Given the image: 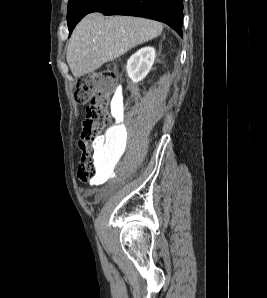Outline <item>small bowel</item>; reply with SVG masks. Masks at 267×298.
I'll use <instances>...</instances> for the list:
<instances>
[{
    "mask_svg": "<svg viewBox=\"0 0 267 298\" xmlns=\"http://www.w3.org/2000/svg\"><path fill=\"white\" fill-rule=\"evenodd\" d=\"M112 139V136L110 134H107V136L105 137V141H106V144ZM94 194V192L90 189V190H87L85 192V196L86 197H90Z\"/></svg>",
    "mask_w": 267,
    "mask_h": 298,
    "instance_id": "obj_1",
    "label": "small bowel"
}]
</instances>
